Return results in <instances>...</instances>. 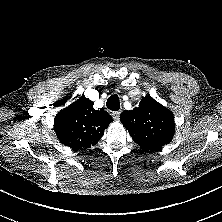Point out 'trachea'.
<instances>
[{
    "label": "trachea",
    "instance_id": "3493384b",
    "mask_svg": "<svg viewBox=\"0 0 222 222\" xmlns=\"http://www.w3.org/2000/svg\"><path fill=\"white\" fill-rule=\"evenodd\" d=\"M106 106L112 111H118L120 109V100L117 95H111L107 102Z\"/></svg>",
    "mask_w": 222,
    "mask_h": 222
}]
</instances>
